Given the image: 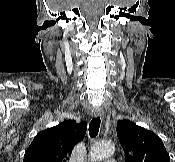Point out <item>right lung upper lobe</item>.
Returning <instances> with one entry per match:
<instances>
[{"mask_svg":"<svg viewBox=\"0 0 175 162\" xmlns=\"http://www.w3.org/2000/svg\"><path fill=\"white\" fill-rule=\"evenodd\" d=\"M85 122L66 120L39 132L27 148L23 162H66L86 133Z\"/></svg>","mask_w":175,"mask_h":162,"instance_id":"right-lung-upper-lobe-1","label":"right lung upper lobe"}]
</instances>
